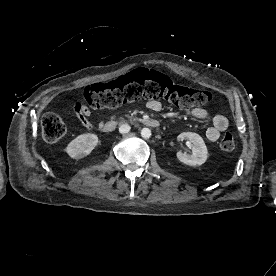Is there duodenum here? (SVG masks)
<instances>
[{"label": "duodenum", "instance_id": "obj_1", "mask_svg": "<svg viewBox=\"0 0 276 276\" xmlns=\"http://www.w3.org/2000/svg\"><path fill=\"white\" fill-rule=\"evenodd\" d=\"M136 121L148 127L155 128L160 126L159 121L151 118H137ZM118 123L119 122L116 120L108 121L105 124H103L101 129L104 133H111L117 128Z\"/></svg>", "mask_w": 276, "mask_h": 276}]
</instances>
